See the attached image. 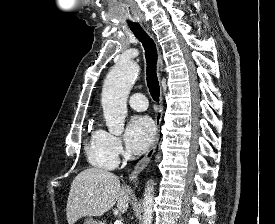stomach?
Instances as JSON below:
<instances>
[{
	"mask_svg": "<svg viewBox=\"0 0 275 224\" xmlns=\"http://www.w3.org/2000/svg\"><path fill=\"white\" fill-rule=\"evenodd\" d=\"M84 224H104V223H102V222H100V221H96V220H94L93 218H89V219H86V220L84 221Z\"/></svg>",
	"mask_w": 275,
	"mask_h": 224,
	"instance_id": "0dacf381",
	"label": "stomach"
}]
</instances>
